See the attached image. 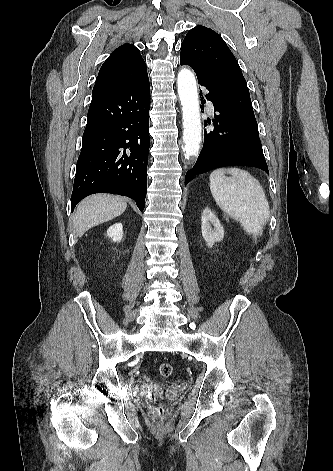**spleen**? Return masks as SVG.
<instances>
[{"mask_svg": "<svg viewBox=\"0 0 333 471\" xmlns=\"http://www.w3.org/2000/svg\"><path fill=\"white\" fill-rule=\"evenodd\" d=\"M230 174V177H226ZM210 190L217 205L244 231L260 235L270 218V208L259 181L248 171L236 167L216 169L210 174Z\"/></svg>", "mask_w": 333, "mask_h": 471, "instance_id": "1", "label": "spleen"}]
</instances>
